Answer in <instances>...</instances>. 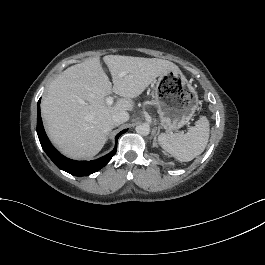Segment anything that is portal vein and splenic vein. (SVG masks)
I'll return each mask as SVG.
<instances>
[{
    "label": "portal vein and splenic vein",
    "instance_id": "18ae733b",
    "mask_svg": "<svg viewBox=\"0 0 265 265\" xmlns=\"http://www.w3.org/2000/svg\"><path fill=\"white\" fill-rule=\"evenodd\" d=\"M126 75V72H122L121 74H120V76H125ZM81 104H85V105H87V103L85 102V101H83V100H80L79 101ZM106 104L107 105H112L113 104V97H107L106 98Z\"/></svg>",
    "mask_w": 265,
    "mask_h": 265
}]
</instances>
